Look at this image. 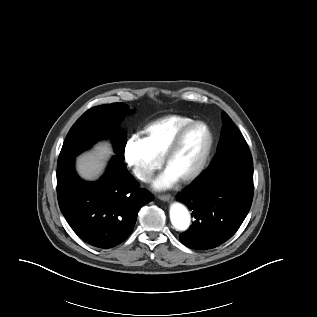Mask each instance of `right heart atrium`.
Segmentation results:
<instances>
[{"instance_id":"d8ad5b80","label":"right heart atrium","mask_w":317,"mask_h":317,"mask_svg":"<svg viewBox=\"0 0 317 317\" xmlns=\"http://www.w3.org/2000/svg\"><path fill=\"white\" fill-rule=\"evenodd\" d=\"M124 160L133 175L141 182H149L162 159L156 157L147 147L143 138L134 135L124 146Z\"/></svg>"}]
</instances>
